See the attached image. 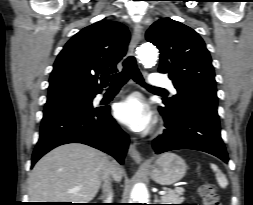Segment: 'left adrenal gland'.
Here are the masks:
<instances>
[{
	"label": "left adrenal gland",
	"instance_id": "obj_1",
	"mask_svg": "<svg viewBox=\"0 0 253 205\" xmlns=\"http://www.w3.org/2000/svg\"><path fill=\"white\" fill-rule=\"evenodd\" d=\"M154 202H155V204H158L160 202V200L158 199L157 195L154 196Z\"/></svg>",
	"mask_w": 253,
	"mask_h": 205
}]
</instances>
